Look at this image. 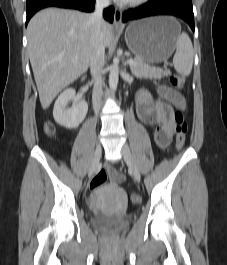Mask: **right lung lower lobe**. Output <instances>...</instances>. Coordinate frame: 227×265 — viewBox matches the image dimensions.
I'll list each match as a JSON object with an SVG mask.
<instances>
[{
  "mask_svg": "<svg viewBox=\"0 0 227 265\" xmlns=\"http://www.w3.org/2000/svg\"><path fill=\"white\" fill-rule=\"evenodd\" d=\"M27 18L26 25L30 18L40 9L46 7H60L78 9L81 11L91 12L94 10L95 0H26ZM104 18L109 22H113L114 9L109 7L104 10Z\"/></svg>",
  "mask_w": 227,
  "mask_h": 265,
  "instance_id": "1",
  "label": "right lung lower lobe"
}]
</instances>
